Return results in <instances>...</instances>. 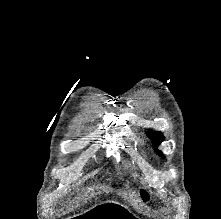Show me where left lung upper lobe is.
I'll list each match as a JSON object with an SVG mask.
<instances>
[{
    "instance_id": "left-lung-upper-lobe-1",
    "label": "left lung upper lobe",
    "mask_w": 221,
    "mask_h": 219,
    "mask_svg": "<svg viewBox=\"0 0 221 219\" xmlns=\"http://www.w3.org/2000/svg\"><path fill=\"white\" fill-rule=\"evenodd\" d=\"M148 137L153 141L154 148L163 141V136L160 132H148ZM156 149V148H155ZM157 154L161 156V152L156 150Z\"/></svg>"
}]
</instances>
